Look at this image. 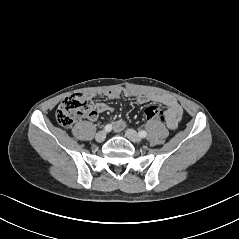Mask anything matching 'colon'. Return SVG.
Masks as SVG:
<instances>
[{"label":"colon","mask_w":239,"mask_h":239,"mask_svg":"<svg viewBox=\"0 0 239 239\" xmlns=\"http://www.w3.org/2000/svg\"><path fill=\"white\" fill-rule=\"evenodd\" d=\"M95 110L91 98L82 93L71 94L63 99L56 110V119L63 127L71 126L79 117L89 116ZM148 119L163 120L165 114L158 106H149L145 110Z\"/></svg>","instance_id":"1"}]
</instances>
